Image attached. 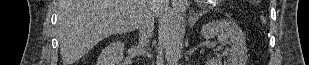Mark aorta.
I'll return each mask as SVG.
<instances>
[{
    "label": "aorta",
    "instance_id": "762f6f07",
    "mask_svg": "<svg viewBox=\"0 0 309 65\" xmlns=\"http://www.w3.org/2000/svg\"><path fill=\"white\" fill-rule=\"evenodd\" d=\"M183 0H171V9L165 32V59L168 65H177L180 59L183 37Z\"/></svg>",
    "mask_w": 309,
    "mask_h": 65
}]
</instances>
